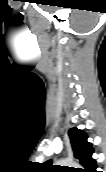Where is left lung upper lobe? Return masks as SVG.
Here are the masks:
<instances>
[{"instance_id":"obj_1","label":"left lung upper lobe","mask_w":106,"mask_h":172,"mask_svg":"<svg viewBox=\"0 0 106 172\" xmlns=\"http://www.w3.org/2000/svg\"><path fill=\"white\" fill-rule=\"evenodd\" d=\"M69 137L74 153V157L83 165L84 169L78 170L79 172H96V161L92 158L93 148L87 141V135L84 131L77 128L69 130ZM46 166L60 171L59 167H53L52 161L49 160L45 163Z\"/></svg>"}]
</instances>
